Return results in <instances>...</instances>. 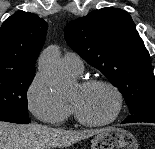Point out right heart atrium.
I'll list each match as a JSON object with an SVG mask.
<instances>
[{
	"instance_id": "right-heart-atrium-1",
	"label": "right heart atrium",
	"mask_w": 155,
	"mask_h": 149,
	"mask_svg": "<svg viewBox=\"0 0 155 149\" xmlns=\"http://www.w3.org/2000/svg\"><path fill=\"white\" fill-rule=\"evenodd\" d=\"M26 100L34 116L49 125H62L71 113L69 105L55 97L41 73H36L29 83Z\"/></svg>"
}]
</instances>
